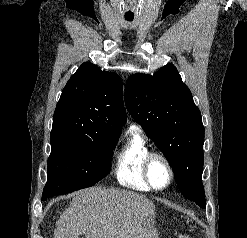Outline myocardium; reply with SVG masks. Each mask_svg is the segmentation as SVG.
<instances>
[{
	"instance_id": "1",
	"label": "myocardium",
	"mask_w": 247,
	"mask_h": 238,
	"mask_svg": "<svg viewBox=\"0 0 247 238\" xmlns=\"http://www.w3.org/2000/svg\"><path fill=\"white\" fill-rule=\"evenodd\" d=\"M156 159L161 160L166 165V167L169 171L168 182L163 186L155 185L151 179L150 167H151L152 162ZM142 172H143V177H144L146 183L153 190H164V189L168 188L172 184L174 177H175V171H174V168H173L171 161L169 160V158L166 155H164L163 153H160V152H150L146 156L144 163H143Z\"/></svg>"
}]
</instances>
